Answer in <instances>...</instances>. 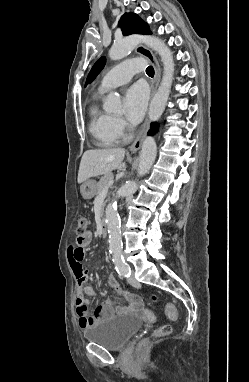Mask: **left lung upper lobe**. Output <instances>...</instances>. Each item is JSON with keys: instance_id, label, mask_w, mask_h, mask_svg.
I'll return each instance as SVG.
<instances>
[{"instance_id": "1", "label": "left lung upper lobe", "mask_w": 249, "mask_h": 382, "mask_svg": "<svg viewBox=\"0 0 249 382\" xmlns=\"http://www.w3.org/2000/svg\"><path fill=\"white\" fill-rule=\"evenodd\" d=\"M119 26L122 29V33L124 35L130 34H151V31L148 29V25L144 23L136 14L133 13H125L122 15L119 20ZM105 58L101 57L92 67L89 75L87 77V82L91 83L99 72L103 69L105 65Z\"/></svg>"}]
</instances>
